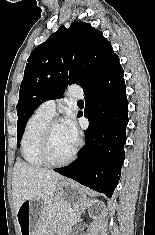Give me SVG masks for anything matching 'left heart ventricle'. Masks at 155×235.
Masks as SVG:
<instances>
[{"label":"left heart ventricle","instance_id":"left-heart-ventricle-1","mask_svg":"<svg viewBox=\"0 0 155 235\" xmlns=\"http://www.w3.org/2000/svg\"><path fill=\"white\" fill-rule=\"evenodd\" d=\"M75 143L70 139L63 124H56L51 132L49 153L52 159H65L73 150Z\"/></svg>","mask_w":155,"mask_h":235}]
</instances>
